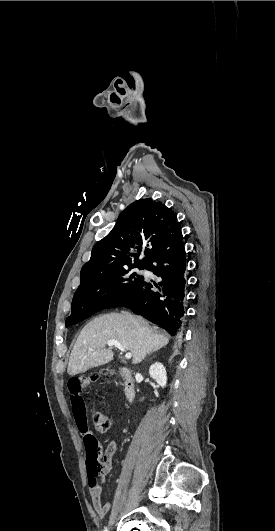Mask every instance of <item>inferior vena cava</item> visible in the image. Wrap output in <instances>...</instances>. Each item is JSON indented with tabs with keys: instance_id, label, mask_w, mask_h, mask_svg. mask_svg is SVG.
<instances>
[{
	"instance_id": "602c4592",
	"label": "inferior vena cava",
	"mask_w": 275,
	"mask_h": 531,
	"mask_svg": "<svg viewBox=\"0 0 275 531\" xmlns=\"http://www.w3.org/2000/svg\"><path fill=\"white\" fill-rule=\"evenodd\" d=\"M129 319H131L132 323H136L135 319H133V317H129Z\"/></svg>"
}]
</instances>
